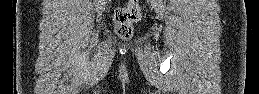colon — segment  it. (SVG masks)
I'll return each instance as SVG.
<instances>
[{
  "label": "colon",
  "mask_w": 259,
  "mask_h": 94,
  "mask_svg": "<svg viewBox=\"0 0 259 94\" xmlns=\"http://www.w3.org/2000/svg\"><path fill=\"white\" fill-rule=\"evenodd\" d=\"M140 17L141 10L137 0H130L125 6L117 8L114 13L117 34L124 39L130 38L133 33V24Z\"/></svg>",
  "instance_id": "obj_1"
}]
</instances>
